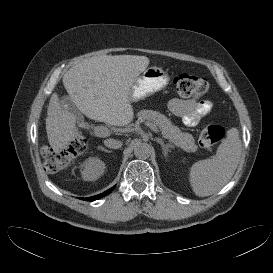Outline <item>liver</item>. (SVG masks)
<instances>
[{"mask_svg": "<svg viewBox=\"0 0 273 273\" xmlns=\"http://www.w3.org/2000/svg\"><path fill=\"white\" fill-rule=\"evenodd\" d=\"M149 59L137 55H100L83 59L63 76V85L81 113L114 126L128 125L134 118L129 92ZM46 132L55 153L78 136L76 116L53 93L47 109Z\"/></svg>", "mask_w": 273, "mask_h": 273, "instance_id": "1", "label": "liver"}]
</instances>
